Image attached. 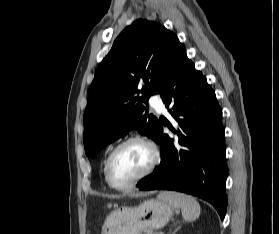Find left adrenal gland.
<instances>
[{"mask_svg": "<svg viewBox=\"0 0 279 234\" xmlns=\"http://www.w3.org/2000/svg\"><path fill=\"white\" fill-rule=\"evenodd\" d=\"M179 228H180V226L177 227V228L172 232V234H175V233L178 231Z\"/></svg>", "mask_w": 279, "mask_h": 234, "instance_id": "left-adrenal-gland-1", "label": "left adrenal gland"}]
</instances>
